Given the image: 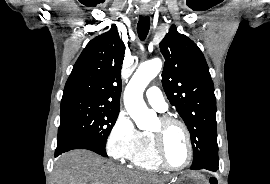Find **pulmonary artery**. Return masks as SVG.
<instances>
[{"mask_svg": "<svg viewBox=\"0 0 270 184\" xmlns=\"http://www.w3.org/2000/svg\"><path fill=\"white\" fill-rule=\"evenodd\" d=\"M146 98L149 104L158 112H165L167 110L168 105L158 87L152 86L148 88Z\"/></svg>", "mask_w": 270, "mask_h": 184, "instance_id": "1", "label": "pulmonary artery"}]
</instances>
